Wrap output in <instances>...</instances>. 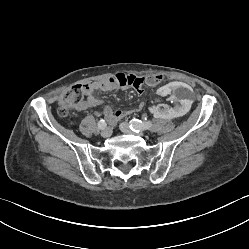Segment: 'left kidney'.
<instances>
[{
  "label": "left kidney",
  "instance_id": "obj_1",
  "mask_svg": "<svg viewBox=\"0 0 249 249\" xmlns=\"http://www.w3.org/2000/svg\"><path fill=\"white\" fill-rule=\"evenodd\" d=\"M157 96L160 100L167 101V104L156 103L151 108L152 115L161 119L184 118L196 100L194 90L179 80L168 82L160 87Z\"/></svg>",
  "mask_w": 249,
  "mask_h": 249
}]
</instances>
